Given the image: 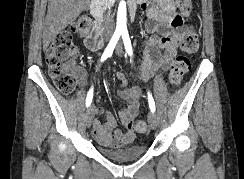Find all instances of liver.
<instances>
[{
    "label": "liver",
    "instance_id": "6515ba94",
    "mask_svg": "<svg viewBox=\"0 0 244 179\" xmlns=\"http://www.w3.org/2000/svg\"><path fill=\"white\" fill-rule=\"evenodd\" d=\"M90 0H48L47 16L43 32V50L48 48L51 40L73 24L79 14L89 6Z\"/></svg>",
    "mask_w": 244,
    "mask_h": 179
}]
</instances>
